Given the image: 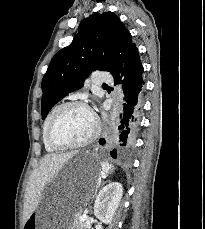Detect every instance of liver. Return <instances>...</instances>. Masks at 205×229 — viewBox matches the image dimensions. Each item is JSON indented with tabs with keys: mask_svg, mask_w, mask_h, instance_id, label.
<instances>
[{
	"mask_svg": "<svg viewBox=\"0 0 205 229\" xmlns=\"http://www.w3.org/2000/svg\"><path fill=\"white\" fill-rule=\"evenodd\" d=\"M77 153L78 151L66 154H48L42 158L39 167L32 172L26 190L23 208L24 223L42 200L45 187L52 182L63 166Z\"/></svg>",
	"mask_w": 205,
	"mask_h": 229,
	"instance_id": "obj_1",
	"label": "liver"
}]
</instances>
